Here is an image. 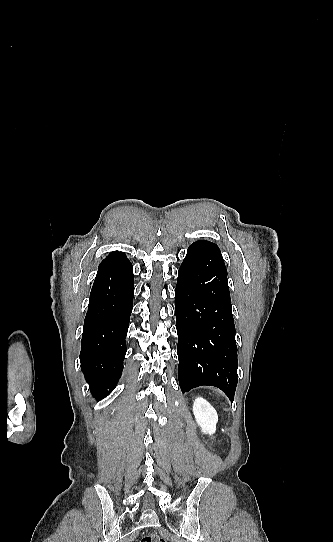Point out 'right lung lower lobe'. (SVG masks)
I'll return each mask as SVG.
<instances>
[{
    "instance_id": "right-lung-lower-lobe-1",
    "label": "right lung lower lobe",
    "mask_w": 333,
    "mask_h": 542,
    "mask_svg": "<svg viewBox=\"0 0 333 542\" xmlns=\"http://www.w3.org/2000/svg\"><path fill=\"white\" fill-rule=\"evenodd\" d=\"M133 295L132 264L114 251L98 267L81 340V369L97 400L108 396L121 376Z\"/></svg>"
}]
</instances>
